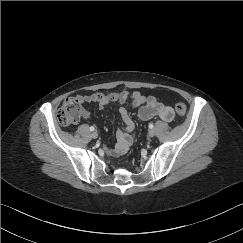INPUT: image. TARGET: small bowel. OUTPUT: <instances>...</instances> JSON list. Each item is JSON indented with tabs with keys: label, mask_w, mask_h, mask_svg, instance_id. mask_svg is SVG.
<instances>
[{
	"label": "small bowel",
	"mask_w": 243,
	"mask_h": 243,
	"mask_svg": "<svg viewBox=\"0 0 243 243\" xmlns=\"http://www.w3.org/2000/svg\"><path fill=\"white\" fill-rule=\"evenodd\" d=\"M115 95V97H113L112 94L78 96L82 102L97 104L99 107H105L113 102L120 104L118 114L123 122V127L118 129L115 133L116 144L113 147L108 145L103 147L105 153L110 156L124 154L133 142L132 130L134 128V122L128 110L129 104L139 108L137 116L141 121H147L156 116L167 122L174 118L172 109L158 101L154 96H146L138 91L132 93L121 91ZM82 116L84 119H87L89 117V112L83 110Z\"/></svg>",
	"instance_id": "1"
}]
</instances>
